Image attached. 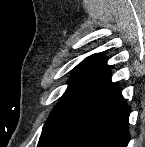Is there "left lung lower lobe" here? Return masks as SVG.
Segmentation results:
<instances>
[{"instance_id":"left-lung-lower-lobe-1","label":"left lung lower lobe","mask_w":145,"mask_h":147,"mask_svg":"<svg viewBox=\"0 0 145 147\" xmlns=\"http://www.w3.org/2000/svg\"><path fill=\"white\" fill-rule=\"evenodd\" d=\"M105 64L63 134L44 147H127L130 108Z\"/></svg>"}]
</instances>
